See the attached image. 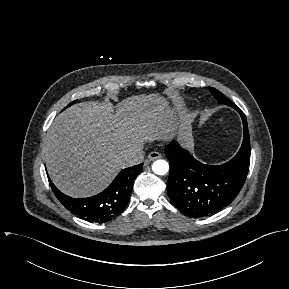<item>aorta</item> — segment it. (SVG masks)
I'll return each mask as SVG.
<instances>
[{"mask_svg": "<svg viewBox=\"0 0 289 289\" xmlns=\"http://www.w3.org/2000/svg\"><path fill=\"white\" fill-rule=\"evenodd\" d=\"M152 170L157 175H165L169 171V164L163 159L156 160L152 164Z\"/></svg>", "mask_w": 289, "mask_h": 289, "instance_id": "obj_1", "label": "aorta"}]
</instances>
